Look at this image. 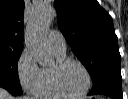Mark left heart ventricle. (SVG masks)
<instances>
[{"label":"left heart ventricle","instance_id":"obj_1","mask_svg":"<svg viewBox=\"0 0 128 99\" xmlns=\"http://www.w3.org/2000/svg\"><path fill=\"white\" fill-rule=\"evenodd\" d=\"M60 83L67 92L78 93L86 86L87 79L79 65L70 63L60 72Z\"/></svg>","mask_w":128,"mask_h":99}]
</instances>
